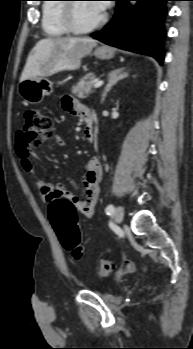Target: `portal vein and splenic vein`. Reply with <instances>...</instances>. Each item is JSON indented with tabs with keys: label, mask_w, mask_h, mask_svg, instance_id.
I'll list each match as a JSON object with an SVG mask.
<instances>
[{
	"label": "portal vein and splenic vein",
	"mask_w": 193,
	"mask_h": 349,
	"mask_svg": "<svg viewBox=\"0 0 193 349\" xmlns=\"http://www.w3.org/2000/svg\"><path fill=\"white\" fill-rule=\"evenodd\" d=\"M103 83H104V81H102V80L97 81V82L94 84V88H99V87H101V86L103 85Z\"/></svg>",
	"instance_id": "obj_1"
}]
</instances>
